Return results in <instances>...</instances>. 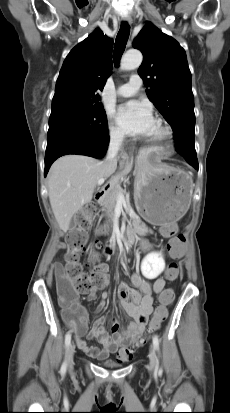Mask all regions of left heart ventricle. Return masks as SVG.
<instances>
[{"label":"left heart ventricle","instance_id":"1","mask_svg":"<svg viewBox=\"0 0 230 413\" xmlns=\"http://www.w3.org/2000/svg\"><path fill=\"white\" fill-rule=\"evenodd\" d=\"M156 133V124L154 125V127L152 128V130L150 131V133L148 134V136H152Z\"/></svg>","mask_w":230,"mask_h":413}]
</instances>
